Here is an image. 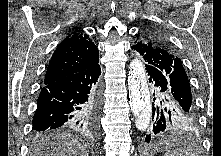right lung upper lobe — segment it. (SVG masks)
<instances>
[{
	"instance_id": "1",
	"label": "right lung upper lobe",
	"mask_w": 221,
	"mask_h": 156,
	"mask_svg": "<svg viewBox=\"0 0 221 156\" xmlns=\"http://www.w3.org/2000/svg\"><path fill=\"white\" fill-rule=\"evenodd\" d=\"M88 35L70 34L58 45L49 62L44 85L86 70L99 62L96 46Z\"/></svg>"
}]
</instances>
